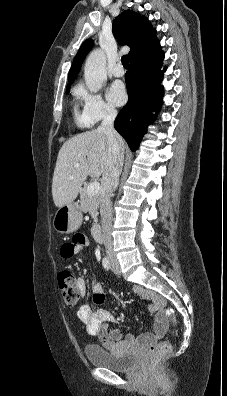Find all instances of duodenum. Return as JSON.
Returning <instances> with one entry per match:
<instances>
[{
	"instance_id": "duodenum-1",
	"label": "duodenum",
	"mask_w": 227,
	"mask_h": 396,
	"mask_svg": "<svg viewBox=\"0 0 227 396\" xmlns=\"http://www.w3.org/2000/svg\"><path fill=\"white\" fill-rule=\"evenodd\" d=\"M92 236L97 242H101L102 241V229H101V226L99 224H95L92 227Z\"/></svg>"
}]
</instances>
